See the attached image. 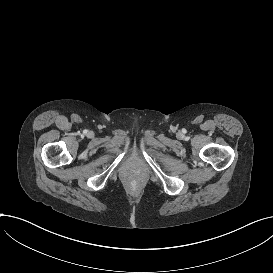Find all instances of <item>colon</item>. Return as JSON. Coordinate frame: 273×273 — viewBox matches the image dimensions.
I'll list each match as a JSON object with an SVG mask.
<instances>
[{
    "label": "colon",
    "mask_w": 273,
    "mask_h": 273,
    "mask_svg": "<svg viewBox=\"0 0 273 273\" xmlns=\"http://www.w3.org/2000/svg\"><path fill=\"white\" fill-rule=\"evenodd\" d=\"M140 188H141V184L139 181H137L135 179H132L129 181L128 189L130 192L137 193V192H139Z\"/></svg>",
    "instance_id": "5ec220e1"
}]
</instances>
